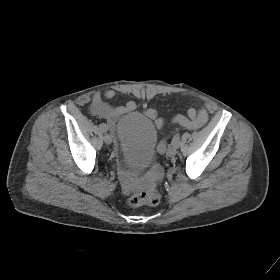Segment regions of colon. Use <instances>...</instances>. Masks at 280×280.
<instances>
[{"instance_id":"obj_1","label":"colon","mask_w":280,"mask_h":280,"mask_svg":"<svg viewBox=\"0 0 280 280\" xmlns=\"http://www.w3.org/2000/svg\"><path fill=\"white\" fill-rule=\"evenodd\" d=\"M160 173V167L154 166L153 174L158 175ZM160 202V194L156 190L154 185H151L145 191L137 192L130 195L127 199V203L131 207H138L141 205L155 206Z\"/></svg>"}]
</instances>
